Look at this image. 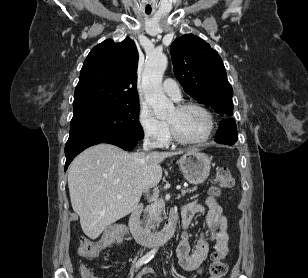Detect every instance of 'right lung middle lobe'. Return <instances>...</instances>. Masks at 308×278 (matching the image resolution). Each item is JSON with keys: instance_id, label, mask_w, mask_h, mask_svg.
Segmentation results:
<instances>
[{"instance_id": "right-lung-middle-lobe-1", "label": "right lung middle lobe", "mask_w": 308, "mask_h": 278, "mask_svg": "<svg viewBox=\"0 0 308 278\" xmlns=\"http://www.w3.org/2000/svg\"><path fill=\"white\" fill-rule=\"evenodd\" d=\"M139 108V103L123 104L74 115L70 122V136L107 133L143 139Z\"/></svg>"}]
</instances>
